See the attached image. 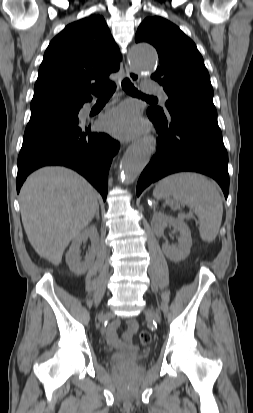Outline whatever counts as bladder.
<instances>
[{
    "label": "bladder",
    "mask_w": 253,
    "mask_h": 413,
    "mask_svg": "<svg viewBox=\"0 0 253 413\" xmlns=\"http://www.w3.org/2000/svg\"><path fill=\"white\" fill-rule=\"evenodd\" d=\"M141 353L135 348H129L125 351L115 352L110 355V362L114 366H131L142 360Z\"/></svg>",
    "instance_id": "bladder-1"
}]
</instances>
